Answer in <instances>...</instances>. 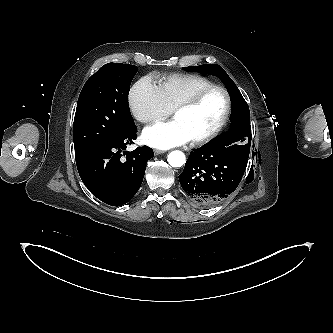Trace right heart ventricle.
<instances>
[{
  "instance_id": "e07e8e85",
  "label": "right heart ventricle",
  "mask_w": 333,
  "mask_h": 333,
  "mask_svg": "<svg viewBox=\"0 0 333 333\" xmlns=\"http://www.w3.org/2000/svg\"><path fill=\"white\" fill-rule=\"evenodd\" d=\"M213 83L197 74H172L159 80L158 88L167 106L173 110L199 90Z\"/></svg>"
}]
</instances>
